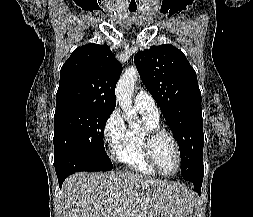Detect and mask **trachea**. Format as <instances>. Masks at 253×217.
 I'll use <instances>...</instances> for the list:
<instances>
[{"mask_svg": "<svg viewBox=\"0 0 253 217\" xmlns=\"http://www.w3.org/2000/svg\"><path fill=\"white\" fill-rule=\"evenodd\" d=\"M129 11H130L131 13H133V12L136 11V8H129Z\"/></svg>", "mask_w": 253, "mask_h": 217, "instance_id": "3493384b", "label": "trachea"}]
</instances>
